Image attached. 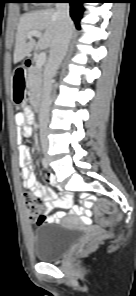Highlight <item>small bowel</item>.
I'll return each instance as SVG.
<instances>
[{"mask_svg": "<svg viewBox=\"0 0 136 296\" xmlns=\"http://www.w3.org/2000/svg\"><path fill=\"white\" fill-rule=\"evenodd\" d=\"M16 121L22 127L21 138L30 137L32 134L31 123L33 122V114L29 107H25L23 113L16 115ZM19 166L23 179V187L30 190L37 198L44 202V211L47 216L54 208L70 209L72 201L68 195H58L51 189L42 186L36 179L32 168V156L28 146L20 145L19 147ZM46 180L54 182L55 178L52 174L46 175ZM75 212L83 218L84 222L91 221V205L83 202L79 206L74 207ZM64 212H58L55 216H47L46 223H56L60 218L64 217ZM101 224L108 226L110 221L105 220L100 212H96ZM45 223V224H46Z\"/></svg>", "mask_w": 136, "mask_h": 296, "instance_id": "obj_1", "label": "small bowel"}]
</instances>
